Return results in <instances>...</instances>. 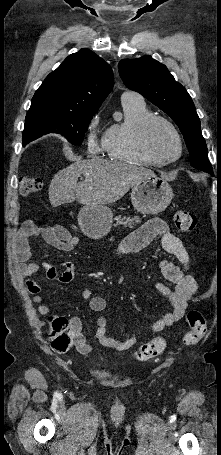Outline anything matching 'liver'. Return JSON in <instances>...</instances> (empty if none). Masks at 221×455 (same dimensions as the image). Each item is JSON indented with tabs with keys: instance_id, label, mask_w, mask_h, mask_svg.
Instances as JSON below:
<instances>
[{
	"instance_id": "liver-1",
	"label": "liver",
	"mask_w": 221,
	"mask_h": 455,
	"mask_svg": "<svg viewBox=\"0 0 221 455\" xmlns=\"http://www.w3.org/2000/svg\"><path fill=\"white\" fill-rule=\"evenodd\" d=\"M81 174L85 179L77 183ZM154 176L150 169L122 162L77 161L54 175L49 185V200L53 207L74 200L84 205L110 204L138 182Z\"/></svg>"
}]
</instances>
